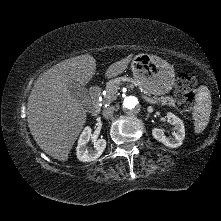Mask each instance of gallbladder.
<instances>
[{"mask_svg":"<svg viewBox=\"0 0 221 221\" xmlns=\"http://www.w3.org/2000/svg\"><path fill=\"white\" fill-rule=\"evenodd\" d=\"M68 88L71 95L81 103L86 109H89L90 100L88 97L87 89L80 85L78 82L72 81L68 83Z\"/></svg>","mask_w":221,"mask_h":221,"instance_id":"obj_1","label":"gallbladder"}]
</instances>
